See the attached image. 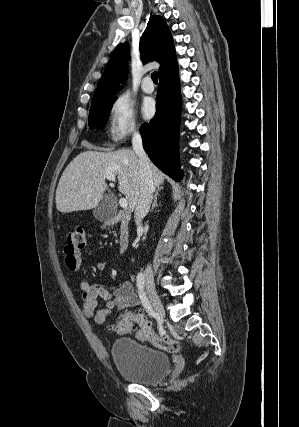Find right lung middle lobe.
Wrapping results in <instances>:
<instances>
[{"label": "right lung middle lobe", "instance_id": "obj_1", "mask_svg": "<svg viewBox=\"0 0 299 427\" xmlns=\"http://www.w3.org/2000/svg\"><path fill=\"white\" fill-rule=\"evenodd\" d=\"M116 100L113 96H106L92 100L89 111L88 123L90 129H103L107 121V117L112 108L113 102Z\"/></svg>", "mask_w": 299, "mask_h": 427}]
</instances>
